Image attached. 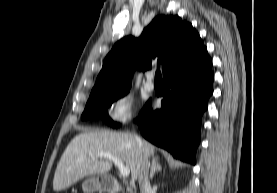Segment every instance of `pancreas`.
Listing matches in <instances>:
<instances>
[{
	"label": "pancreas",
	"mask_w": 277,
	"mask_h": 193,
	"mask_svg": "<svg viewBox=\"0 0 277 193\" xmlns=\"http://www.w3.org/2000/svg\"><path fill=\"white\" fill-rule=\"evenodd\" d=\"M128 193H135L132 189L127 188Z\"/></svg>",
	"instance_id": "1"
}]
</instances>
